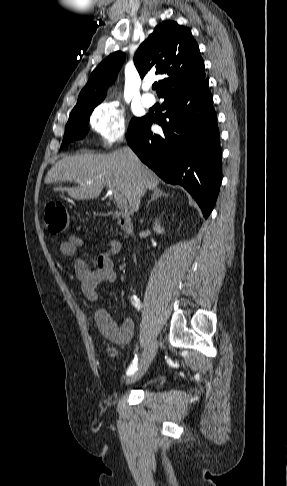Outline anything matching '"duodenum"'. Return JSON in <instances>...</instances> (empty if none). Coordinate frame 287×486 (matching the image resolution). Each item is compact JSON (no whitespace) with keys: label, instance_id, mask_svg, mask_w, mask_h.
Returning a JSON list of instances; mask_svg holds the SVG:
<instances>
[{"label":"duodenum","instance_id":"1","mask_svg":"<svg viewBox=\"0 0 287 486\" xmlns=\"http://www.w3.org/2000/svg\"><path fill=\"white\" fill-rule=\"evenodd\" d=\"M112 215L117 220L120 229L127 235H131L134 231V226L131 218L120 211L113 210Z\"/></svg>","mask_w":287,"mask_h":486}]
</instances>
